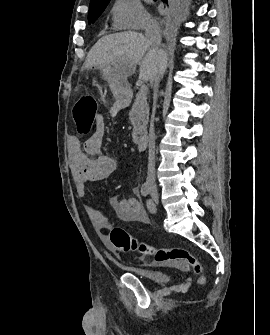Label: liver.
Returning a JSON list of instances; mask_svg holds the SVG:
<instances>
[{"label":"liver","mask_w":270,"mask_h":335,"mask_svg":"<svg viewBox=\"0 0 270 335\" xmlns=\"http://www.w3.org/2000/svg\"><path fill=\"white\" fill-rule=\"evenodd\" d=\"M137 64H140L141 80L152 82L167 64V56L160 46L155 48L143 34L119 32L100 38L87 54L83 68L103 70L112 66L115 78L127 84V78L135 74Z\"/></svg>","instance_id":"1"}]
</instances>
